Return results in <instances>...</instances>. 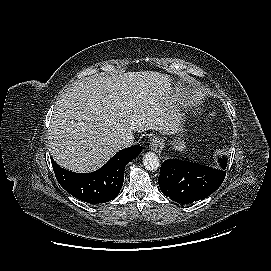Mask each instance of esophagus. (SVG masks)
Segmentation results:
<instances>
[{
  "label": "esophagus",
  "instance_id": "1",
  "mask_svg": "<svg viewBox=\"0 0 271 271\" xmlns=\"http://www.w3.org/2000/svg\"><path fill=\"white\" fill-rule=\"evenodd\" d=\"M149 144H150V148L157 152L160 153L162 151L163 148V144L161 139L158 136H154L149 140Z\"/></svg>",
  "mask_w": 271,
  "mask_h": 271
}]
</instances>
